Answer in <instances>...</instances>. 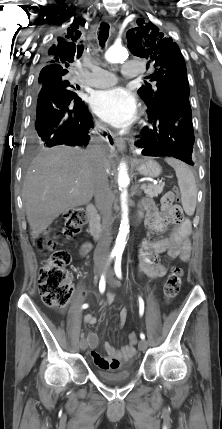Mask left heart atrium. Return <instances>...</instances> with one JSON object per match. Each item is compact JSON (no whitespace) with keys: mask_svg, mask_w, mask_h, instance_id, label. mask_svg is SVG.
<instances>
[{"mask_svg":"<svg viewBox=\"0 0 222 429\" xmlns=\"http://www.w3.org/2000/svg\"><path fill=\"white\" fill-rule=\"evenodd\" d=\"M91 105L103 121L115 127L128 126L137 116L134 97L121 87L97 92L92 98Z\"/></svg>","mask_w":222,"mask_h":429,"instance_id":"left-heart-atrium-1","label":"left heart atrium"}]
</instances>
